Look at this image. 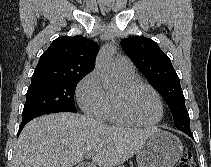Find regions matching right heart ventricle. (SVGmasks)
<instances>
[{
    "instance_id": "1",
    "label": "right heart ventricle",
    "mask_w": 211,
    "mask_h": 167,
    "mask_svg": "<svg viewBox=\"0 0 211 167\" xmlns=\"http://www.w3.org/2000/svg\"><path fill=\"white\" fill-rule=\"evenodd\" d=\"M118 74L124 82H130V81L136 80V76L134 73L123 74V73L118 72ZM113 97L114 96L112 94H107L108 105H107V110H106L104 116L102 117V119L105 120L106 122H109V123H111L113 125H117V126H125V127L132 126L131 124H129L128 122L123 120L118 115V113L115 109V106H114Z\"/></svg>"
}]
</instances>
